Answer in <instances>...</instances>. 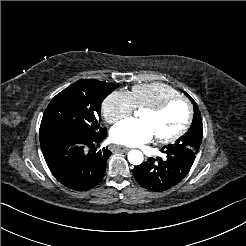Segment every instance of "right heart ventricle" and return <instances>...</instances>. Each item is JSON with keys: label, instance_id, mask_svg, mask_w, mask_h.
Wrapping results in <instances>:
<instances>
[{"label": "right heart ventricle", "instance_id": "e07e8e85", "mask_svg": "<svg viewBox=\"0 0 246 246\" xmlns=\"http://www.w3.org/2000/svg\"><path fill=\"white\" fill-rule=\"evenodd\" d=\"M176 95H178V92L175 89L159 82L135 85L131 92L134 107L139 110L157 105Z\"/></svg>", "mask_w": 246, "mask_h": 246}]
</instances>
